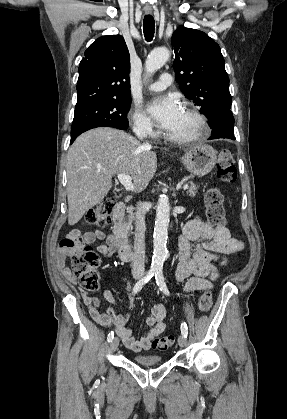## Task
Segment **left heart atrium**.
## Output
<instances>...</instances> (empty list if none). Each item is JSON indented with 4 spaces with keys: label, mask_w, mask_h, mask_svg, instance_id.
Listing matches in <instances>:
<instances>
[{
    "label": "left heart atrium",
    "mask_w": 287,
    "mask_h": 419,
    "mask_svg": "<svg viewBox=\"0 0 287 419\" xmlns=\"http://www.w3.org/2000/svg\"><path fill=\"white\" fill-rule=\"evenodd\" d=\"M182 110L180 101L172 94L156 97L147 105L149 115L160 128L167 131L175 125Z\"/></svg>",
    "instance_id": "left-heart-atrium-1"
}]
</instances>
